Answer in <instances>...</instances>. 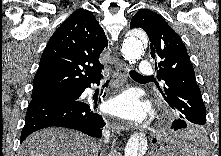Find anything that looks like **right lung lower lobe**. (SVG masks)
<instances>
[{
	"mask_svg": "<svg viewBox=\"0 0 221 156\" xmlns=\"http://www.w3.org/2000/svg\"><path fill=\"white\" fill-rule=\"evenodd\" d=\"M101 78L102 75L82 86L73 99L32 100L26 113L20 143L34 131L51 126L71 128L92 137H101L105 125L103 118L94 111L96 106L93 108L81 99L84 90L91 87V83L98 84Z\"/></svg>",
	"mask_w": 221,
	"mask_h": 156,
	"instance_id": "98d812e1",
	"label": "right lung lower lobe"
}]
</instances>
